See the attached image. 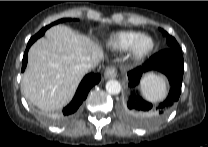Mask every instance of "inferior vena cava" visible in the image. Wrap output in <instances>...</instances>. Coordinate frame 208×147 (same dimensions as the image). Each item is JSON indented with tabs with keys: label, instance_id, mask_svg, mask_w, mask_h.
<instances>
[{
	"label": "inferior vena cava",
	"instance_id": "inferior-vena-cava-1",
	"mask_svg": "<svg viewBox=\"0 0 208 147\" xmlns=\"http://www.w3.org/2000/svg\"><path fill=\"white\" fill-rule=\"evenodd\" d=\"M97 66V64L95 63H88L85 65L86 70H91L93 68H95Z\"/></svg>",
	"mask_w": 208,
	"mask_h": 147
}]
</instances>
